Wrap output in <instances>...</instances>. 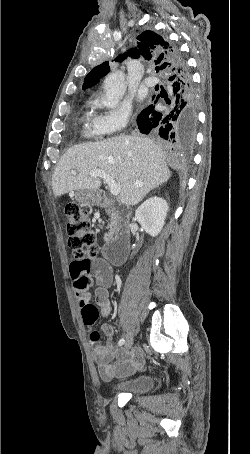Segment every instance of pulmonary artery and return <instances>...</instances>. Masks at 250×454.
Returning <instances> with one entry per match:
<instances>
[{
    "instance_id": "1",
    "label": "pulmonary artery",
    "mask_w": 250,
    "mask_h": 454,
    "mask_svg": "<svg viewBox=\"0 0 250 454\" xmlns=\"http://www.w3.org/2000/svg\"><path fill=\"white\" fill-rule=\"evenodd\" d=\"M157 83H158V79L155 78V77H147L144 80V84L147 85V86H154Z\"/></svg>"
}]
</instances>
